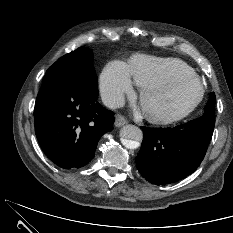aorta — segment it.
Masks as SVG:
<instances>
[{
    "mask_svg": "<svg viewBox=\"0 0 233 233\" xmlns=\"http://www.w3.org/2000/svg\"><path fill=\"white\" fill-rule=\"evenodd\" d=\"M122 144L128 149H136L143 139V132L135 125H125L120 131Z\"/></svg>",
    "mask_w": 233,
    "mask_h": 233,
    "instance_id": "1",
    "label": "aorta"
}]
</instances>
